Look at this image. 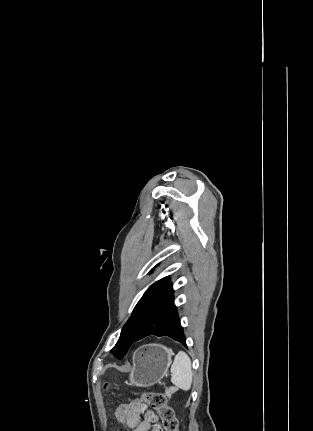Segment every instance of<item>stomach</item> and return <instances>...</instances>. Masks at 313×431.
I'll use <instances>...</instances> for the list:
<instances>
[{
    "label": "stomach",
    "instance_id": "stomach-1",
    "mask_svg": "<svg viewBox=\"0 0 313 431\" xmlns=\"http://www.w3.org/2000/svg\"><path fill=\"white\" fill-rule=\"evenodd\" d=\"M172 352L159 344L139 347L133 357L130 383L137 387H149L159 382L167 373Z\"/></svg>",
    "mask_w": 313,
    "mask_h": 431
}]
</instances>
